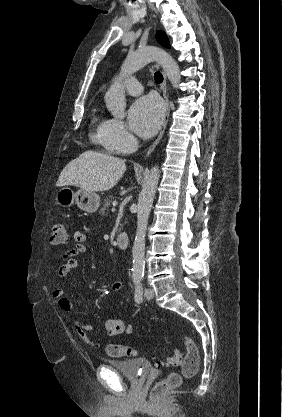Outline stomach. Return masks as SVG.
I'll return each instance as SVG.
<instances>
[{
    "mask_svg": "<svg viewBox=\"0 0 282 417\" xmlns=\"http://www.w3.org/2000/svg\"><path fill=\"white\" fill-rule=\"evenodd\" d=\"M56 204L64 206V209H69L72 204H77L81 211L85 213H96L100 206V194L94 192V190H72L70 186H61L57 190L54 198Z\"/></svg>",
    "mask_w": 282,
    "mask_h": 417,
    "instance_id": "0dacf381",
    "label": "stomach"
}]
</instances>
